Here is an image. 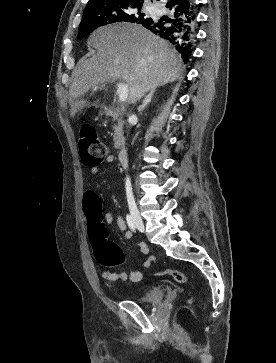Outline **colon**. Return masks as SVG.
I'll return each mask as SVG.
<instances>
[{"label": "colon", "mask_w": 276, "mask_h": 363, "mask_svg": "<svg viewBox=\"0 0 276 363\" xmlns=\"http://www.w3.org/2000/svg\"><path fill=\"white\" fill-rule=\"evenodd\" d=\"M80 153L84 163L90 166L100 164L106 157V147L91 126H84L80 130ZM86 213L96 260L105 267L122 264L124 254L116 243L107 240L108 232L98 218L97 210L89 208ZM163 273L171 276L178 283H185L187 280L186 275L176 269H166Z\"/></svg>", "instance_id": "colon-1"}]
</instances>
